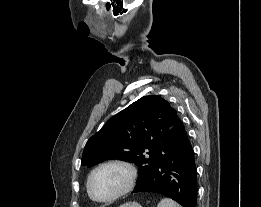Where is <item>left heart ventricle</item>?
Wrapping results in <instances>:
<instances>
[{
    "label": "left heart ventricle",
    "instance_id": "1",
    "mask_svg": "<svg viewBox=\"0 0 261 207\" xmlns=\"http://www.w3.org/2000/svg\"><path fill=\"white\" fill-rule=\"evenodd\" d=\"M128 180L125 169L108 166L99 170L93 177L92 189L99 199L109 198L124 188Z\"/></svg>",
    "mask_w": 261,
    "mask_h": 207
}]
</instances>
